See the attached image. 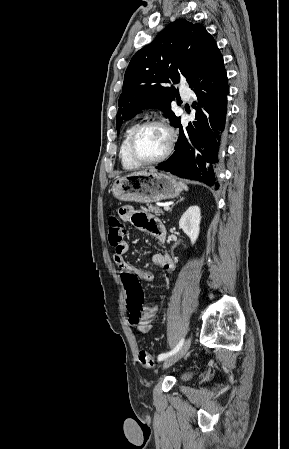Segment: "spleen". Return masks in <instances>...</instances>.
<instances>
[{
	"label": "spleen",
	"mask_w": 289,
	"mask_h": 449,
	"mask_svg": "<svg viewBox=\"0 0 289 449\" xmlns=\"http://www.w3.org/2000/svg\"><path fill=\"white\" fill-rule=\"evenodd\" d=\"M179 184L181 185V187H182L184 190H188L187 185H185V184L182 183V182H179Z\"/></svg>",
	"instance_id": "3e777b00"
}]
</instances>
